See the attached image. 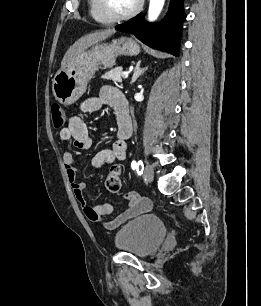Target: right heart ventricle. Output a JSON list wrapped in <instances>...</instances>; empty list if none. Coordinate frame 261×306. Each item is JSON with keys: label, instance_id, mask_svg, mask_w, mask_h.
Wrapping results in <instances>:
<instances>
[{"label": "right heart ventricle", "instance_id": "obj_1", "mask_svg": "<svg viewBox=\"0 0 261 306\" xmlns=\"http://www.w3.org/2000/svg\"><path fill=\"white\" fill-rule=\"evenodd\" d=\"M91 17L98 23L108 24L112 21L102 12L99 0H87Z\"/></svg>", "mask_w": 261, "mask_h": 306}]
</instances>
